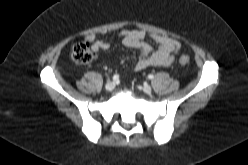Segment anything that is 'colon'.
Returning <instances> with one entry per match:
<instances>
[{
	"label": "colon",
	"instance_id": "colon-1",
	"mask_svg": "<svg viewBox=\"0 0 248 165\" xmlns=\"http://www.w3.org/2000/svg\"><path fill=\"white\" fill-rule=\"evenodd\" d=\"M96 57L95 52L92 50L90 44L86 41H78L72 49L71 59L75 64L86 65L91 63ZM190 62L188 56H181L179 63L181 65H187Z\"/></svg>",
	"mask_w": 248,
	"mask_h": 165
}]
</instances>
